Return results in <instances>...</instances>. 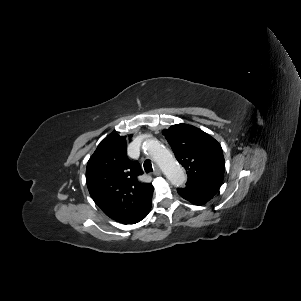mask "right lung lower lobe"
<instances>
[{
  "label": "right lung lower lobe",
  "instance_id": "98d812e1",
  "mask_svg": "<svg viewBox=\"0 0 301 301\" xmlns=\"http://www.w3.org/2000/svg\"><path fill=\"white\" fill-rule=\"evenodd\" d=\"M151 201H152V198L150 199L148 205L143 210V212L129 224H135V223L141 221L142 219H144L147 216V214L149 213V211L151 209Z\"/></svg>",
  "mask_w": 301,
  "mask_h": 301
}]
</instances>
